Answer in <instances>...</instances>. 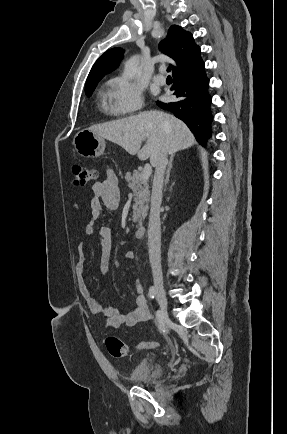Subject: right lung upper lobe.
<instances>
[{"label": "right lung upper lobe", "mask_w": 287, "mask_h": 434, "mask_svg": "<svg viewBox=\"0 0 287 434\" xmlns=\"http://www.w3.org/2000/svg\"><path fill=\"white\" fill-rule=\"evenodd\" d=\"M159 49L176 61L177 68L173 67V74L188 65L200 53L192 34L177 25L170 27L167 37L160 42ZM122 57L123 50L120 48L106 51L93 65L86 84L100 81L105 74L118 67Z\"/></svg>", "instance_id": "1"}]
</instances>
